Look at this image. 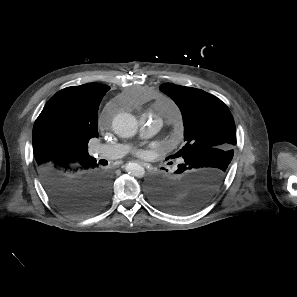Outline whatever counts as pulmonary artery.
Masks as SVG:
<instances>
[{
	"instance_id": "e3ab8cb5",
	"label": "pulmonary artery",
	"mask_w": 297,
	"mask_h": 297,
	"mask_svg": "<svg viewBox=\"0 0 297 297\" xmlns=\"http://www.w3.org/2000/svg\"><path fill=\"white\" fill-rule=\"evenodd\" d=\"M161 112L169 121L175 120L178 116L176 107L171 103H168L166 109L164 111L161 110ZM141 123L143 125L144 133L148 134L155 133L162 124L161 119H151L147 115L141 117ZM91 152L98 157L113 160L124 156L128 152V146L124 144L95 145L91 148Z\"/></svg>"
}]
</instances>
